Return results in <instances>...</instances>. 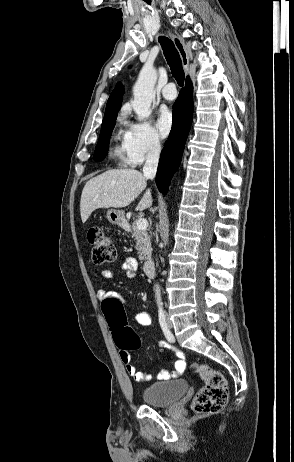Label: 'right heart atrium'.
<instances>
[{
	"label": "right heart atrium",
	"instance_id": "1",
	"mask_svg": "<svg viewBox=\"0 0 294 462\" xmlns=\"http://www.w3.org/2000/svg\"><path fill=\"white\" fill-rule=\"evenodd\" d=\"M127 163L136 166L157 156L162 149L161 139L148 122H127L123 139Z\"/></svg>",
	"mask_w": 294,
	"mask_h": 462
}]
</instances>
